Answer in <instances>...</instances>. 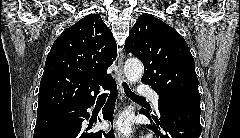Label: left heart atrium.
<instances>
[{
  "label": "left heart atrium",
  "mask_w": 240,
  "mask_h": 138,
  "mask_svg": "<svg viewBox=\"0 0 240 138\" xmlns=\"http://www.w3.org/2000/svg\"><path fill=\"white\" fill-rule=\"evenodd\" d=\"M116 129L121 133H128L131 130V121L128 116H121L116 122Z\"/></svg>",
  "instance_id": "left-heart-atrium-1"
}]
</instances>
